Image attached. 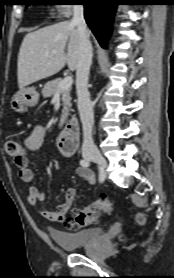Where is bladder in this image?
<instances>
[{"label":"bladder","mask_w":174,"mask_h":278,"mask_svg":"<svg viewBox=\"0 0 174 278\" xmlns=\"http://www.w3.org/2000/svg\"><path fill=\"white\" fill-rule=\"evenodd\" d=\"M99 227L87 228L77 232L50 231V236L55 244L63 250L71 251L85 247L98 240L102 235Z\"/></svg>","instance_id":"1"}]
</instances>
